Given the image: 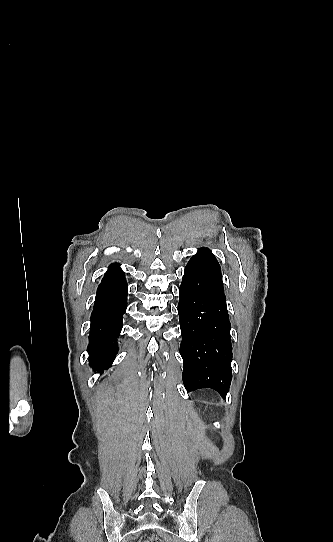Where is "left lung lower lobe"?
I'll list each match as a JSON object with an SVG mask.
<instances>
[{"instance_id":"obj_1","label":"left lung lower lobe","mask_w":333,"mask_h":542,"mask_svg":"<svg viewBox=\"0 0 333 542\" xmlns=\"http://www.w3.org/2000/svg\"><path fill=\"white\" fill-rule=\"evenodd\" d=\"M178 314L185 388H211L226 398L232 379L230 322L221 268L207 248L198 249L185 267Z\"/></svg>"}]
</instances>
